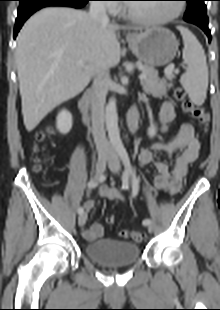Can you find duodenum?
Wrapping results in <instances>:
<instances>
[{
    "label": "duodenum",
    "instance_id": "410a0bca",
    "mask_svg": "<svg viewBox=\"0 0 220 310\" xmlns=\"http://www.w3.org/2000/svg\"><path fill=\"white\" fill-rule=\"evenodd\" d=\"M93 97V92L88 90L84 93L81 100L79 101V109L82 114V121L85 125H89L92 122L90 103ZM137 128V115L136 112H132L128 121V130L134 134Z\"/></svg>",
    "mask_w": 220,
    "mask_h": 310
}]
</instances>
